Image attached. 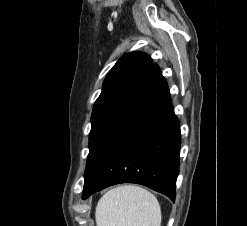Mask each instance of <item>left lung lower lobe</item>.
Returning <instances> with one entry per match:
<instances>
[{
	"label": "left lung lower lobe",
	"mask_w": 247,
	"mask_h": 226,
	"mask_svg": "<svg viewBox=\"0 0 247 226\" xmlns=\"http://www.w3.org/2000/svg\"><path fill=\"white\" fill-rule=\"evenodd\" d=\"M180 128L157 65L90 148L82 198L118 183H138L175 200Z\"/></svg>",
	"instance_id": "0a47b994"
}]
</instances>
